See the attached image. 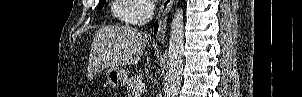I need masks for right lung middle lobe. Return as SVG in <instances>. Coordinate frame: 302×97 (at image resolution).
<instances>
[{
  "label": "right lung middle lobe",
  "instance_id": "dd1d6c3e",
  "mask_svg": "<svg viewBox=\"0 0 302 97\" xmlns=\"http://www.w3.org/2000/svg\"><path fill=\"white\" fill-rule=\"evenodd\" d=\"M104 4H105V0L99 1L98 11H100L103 8Z\"/></svg>",
  "mask_w": 302,
  "mask_h": 97
}]
</instances>
